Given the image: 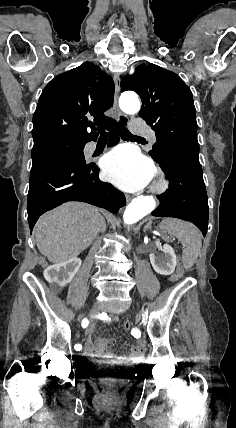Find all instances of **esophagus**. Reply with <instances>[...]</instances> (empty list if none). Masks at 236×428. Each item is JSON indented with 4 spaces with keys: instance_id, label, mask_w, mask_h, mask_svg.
<instances>
[{
    "instance_id": "esophagus-1",
    "label": "esophagus",
    "mask_w": 236,
    "mask_h": 428,
    "mask_svg": "<svg viewBox=\"0 0 236 428\" xmlns=\"http://www.w3.org/2000/svg\"><path fill=\"white\" fill-rule=\"evenodd\" d=\"M113 79L115 82V96H114V107L113 108L118 113V121L120 122V124H122L124 126H128V124H129L128 117L124 113H122L118 108V98H119V94H120V83H121L119 74L114 73Z\"/></svg>"
}]
</instances>
